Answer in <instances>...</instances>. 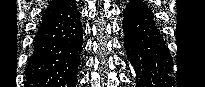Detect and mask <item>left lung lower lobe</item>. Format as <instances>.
Returning a JSON list of instances; mask_svg holds the SVG:
<instances>
[{
    "instance_id": "0a47b994",
    "label": "left lung lower lobe",
    "mask_w": 205,
    "mask_h": 87,
    "mask_svg": "<svg viewBox=\"0 0 205 87\" xmlns=\"http://www.w3.org/2000/svg\"><path fill=\"white\" fill-rule=\"evenodd\" d=\"M123 16L124 47L137 74V87L167 86L173 61L153 11L146 1L132 0Z\"/></svg>"
}]
</instances>
